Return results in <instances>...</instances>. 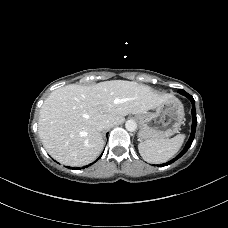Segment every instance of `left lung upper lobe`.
<instances>
[{
  "label": "left lung upper lobe",
  "instance_id": "obj_1",
  "mask_svg": "<svg viewBox=\"0 0 228 228\" xmlns=\"http://www.w3.org/2000/svg\"><path fill=\"white\" fill-rule=\"evenodd\" d=\"M184 92H185L184 90H180L179 91V93L182 94V95H184Z\"/></svg>",
  "mask_w": 228,
  "mask_h": 228
}]
</instances>
